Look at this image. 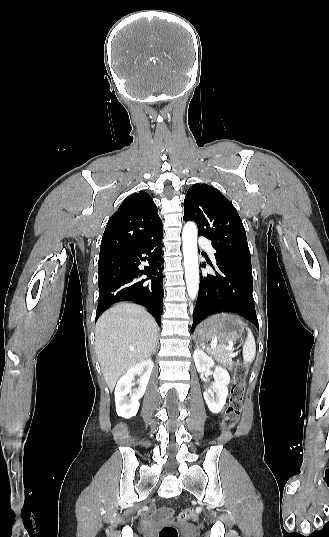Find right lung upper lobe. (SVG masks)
I'll list each match as a JSON object with an SVG mask.
<instances>
[{"instance_id":"1","label":"right lung upper lobe","mask_w":329,"mask_h":537,"mask_svg":"<svg viewBox=\"0 0 329 537\" xmlns=\"http://www.w3.org/2000/svg\"><path fill=\"white\" fill-rule=\"evenodd\" d=\"M161 233L158 209L149 194L140 191L125 199L110 217L99 256L128 251Z\"/></svg>"}]
</instances>
